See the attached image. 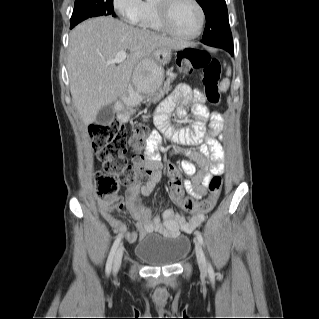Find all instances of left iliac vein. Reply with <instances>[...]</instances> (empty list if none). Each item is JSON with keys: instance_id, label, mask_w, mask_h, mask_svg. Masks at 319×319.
Listing matches in <instances>:
<instances>
[{"instance_id": "obj_1", "label": "left iliac vein", "mask_w": 319, "mask_h": 319, "mask_svg": "<svg viewBox=\"0 0 319 319\" xmlns=\"http://www.w3.org/2000/svg\"><path fill=\"white\" fill-rule=\"evenodd\" d=\"M195 251H196V258H197L199 268H200L201 272L206 273L207 272V261H206V257L204 255V252L202 250V247L198 241H195Z\"/></svg>"}]
</instances>
